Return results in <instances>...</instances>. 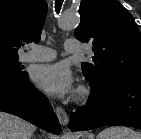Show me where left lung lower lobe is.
Returning a JSON list of instances; mask_svg holds the SVG:
<instances>
[{
    "instance_id": "0a47b994",
    "label": "left lung lower lobe",
    "mask_w": 141,
    "mask_h": 139,
    "mask_svg": "<svg viewBox=\"0 0 141 139\" xmlns=\"http://www.w3.org/2000/svg\"><path fill=\"white\" fill-rule=\"evenodd\" d=\"M109 125L141 129V77L113 75L100 85L91 84L86 105L71 114L72 131Z\"/></svg>"
}]
</instances>
